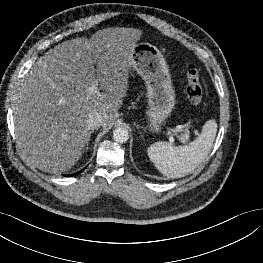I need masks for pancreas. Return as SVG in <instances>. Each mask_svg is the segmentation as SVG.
Returning a JSON list of instances; mask_svg holds the SVG:
<instances>
[{
  "label": "pancreas",
  "mask_w": 263,
  "mask_h": 263,
  "mask_svg": "<svg viewBox=\"0 0 263 263\" xmlns=\"http://www.w3.org/2000/svg\"><path fill=\"white\" fill-rule=\"evenodd\" d=\"M176 131H179V129H176ZM188 134H189V131L186 129V130L184 131V134H182L181 139H184L185 137H187Z\"/></svg>",
  "instance_id": "cf45deb5"
}]
</instances>
